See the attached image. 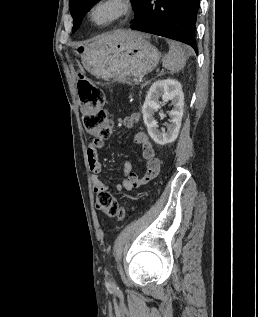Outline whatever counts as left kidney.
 Returning <instances> with one entry per match:
<instances>
[{
  "mask_svg": "<svg viewBox=\"0 0 258 317\" xmlns=\"http://www.w3.org/2000/svg\"><path fill=\"white\" fill-rule=\"evenodd\" d=\"M160 94L164 102L171 100L173 104V110H169V116H171V124H168L166 132H160L157 126V120L154 118V112L157 108H161V104L158 100ZM184 110V92L182 86L175 78H165V80H156L150 86L145 102L143 104V120L147 126V130L157 144H168V142H174L176 140L183 116Z\"/></svg>",
  "mask_w": 258,
  "mask_h": 317,
  "instance_id": "5707ae66",
  "label": "left kidney"
}]
</instances>
